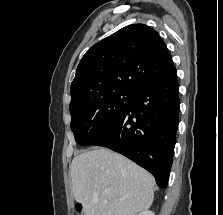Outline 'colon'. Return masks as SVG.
Returning a JSON list of instances; mask_svg holds the SVG:
<instances>
[{
    "mask_svg": "<svg viewBox=\"0 0 223 215\" xmlns=\"http://www.w3.org/2000/svg\"><path fill=\"white\" fill-rule=\"evenodd\" d=\"M81 210H82V206L79 205V204H77V205H76V211H77L78 213H80Z\"/></svg>",
    "mask_w": 223,
    "mask_h": 215,
    "instance_id": "obj_1",
    "label": "colon"
}]
</instances>
